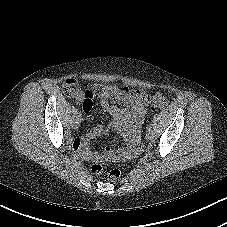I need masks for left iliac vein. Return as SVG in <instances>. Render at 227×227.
<instances>
[{"label": "left iliac vein", "mask_w": 227, "mask_h": 227, "mask_svg": "<svg viewBox=\"0 0 227 227\" xmlns=\"http://www.w3.org/2000/svg\"><path fill=\"white\" fill-rule=\"evenodd\" d=\"M146 136L150 141H153L155 139V133L152 131V129L148 130Z\"/></svg>", "instance_id": "left-iliac-vein-1"}]
</instances>
